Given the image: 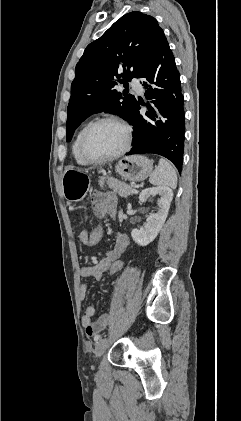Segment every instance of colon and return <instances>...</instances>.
<instances>
[{"mask_svg": "<svg viewBox=\"0 0 241 421\" xmlns=\"http://www.w3.org/2000/svg\"><path fill=\"white\" fill-rule=\"evenodd\" d=\"M103 238V228L99 223H96L91 230L88 231V236L86 238V245L88 247H95L97 246ZM124 269V262L120 259L113 261L108 270V276H117L119 275Z\"/></svg>", "mask_w": 241, "mask_h": 421, "instance_id": "1", "label": "colon"}]
</instances>
